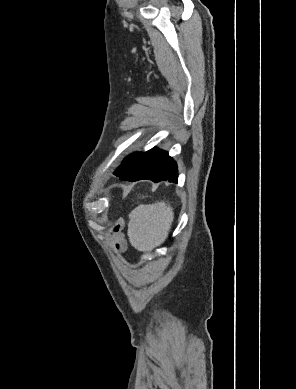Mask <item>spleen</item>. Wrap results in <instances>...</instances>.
I'll list each match as a JSON object with an SVG mask.
<instances>
[{
  "instance_id": "obj_1",
  "label": "spleen",
  "mask_w": 296,
  "mask_h": 389,
  "mask_svg": "<svg viewBox=\"0 0 296 389\" xmlns=\"http://www.w3.org/2000/svg\"><path fill=\"white\" fill-rule=\"evenodd\" d=\"M128 237L141 252H150L168 236L174 219L173 209L165 202L140 205L129 214Z\"/></svg>"
}]
</instances>
